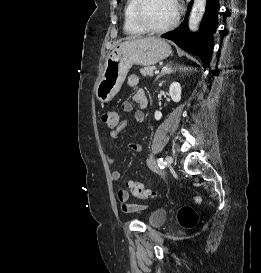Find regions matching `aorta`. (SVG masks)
Wrapping results in <instances>:
<instances>
[{
    "label": "aorta",
    "mask_w": 261,
    "mask_h": 273,
    "mask_svg": "<svg viewBox=\"0 0 261 273\" xmlns=\"http://www.w3.org/2000/svg\"><path fill=\"white\" fill-rule=\"evenodd\" d=\"M206 3L207 0H194L188 22L190 30H195L199 25L206 8Z\"/></svg>",
    "instance_id": "762f6f07"
}]
</instances>
